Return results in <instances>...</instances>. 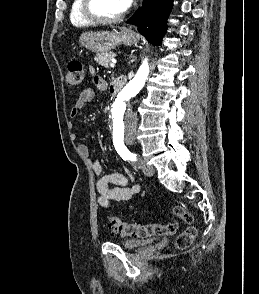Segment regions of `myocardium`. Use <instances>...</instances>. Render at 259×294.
<instances>
[{"label": "myocardium", "instance_id": "myocardium-1", "mask_svg": "<svg viewBox=\"0 0 259 294\" xmlns=\"http://www.w3.org/2000/svg\"><path fill=\"white\" fill-rule=\"evenodd\" d=\"M81 13L92 24H113L120 21L126 14L124 10L117 16L114 17H102L95 13L93 10V0H81Z\"/></svg>", "mask_w": 259, "mask_h": 294}]
</instances>
